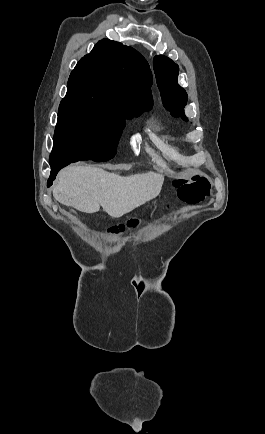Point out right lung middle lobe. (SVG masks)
<instances>
[{
	"mask_svg": "<svg viewBox=\"0 0 265 434\" xmlns=\"http://www.w3.org/2000/svg\"><path fill=\"white\" fill-rule=\"evenodd\" d=\"M60 103L50 166L115 156L125 120L149 108L109 97L92 87H67Z\"/></svg>",
	"mask_w": 265,
	"mask_h": 434,
	"instance_id": "obj_1",
	"label": "right lung middle lobe"
}]
</instances>
